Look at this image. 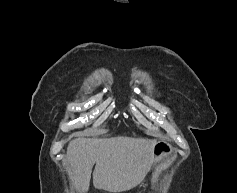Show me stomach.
I'll list each match as a JSON object with an SVG mask.
<instances>
[{"mask_svg": "<svg viewBox=\"0 0 237 193\" xmlns=\"http://www.w3.org/2000/svg\"><path fill=\"white\" fill-rule=\"evenodd\" d=\"M174 152V148L167 141H159L154 145L153 149V164L162 161L165 158L171 156Z\"/></svg>", "mask_w": 237, "mask_h": 193, "instance_id": "obj_1", "label": "stomach"}]
</instances>
